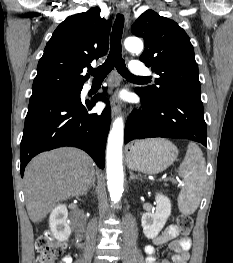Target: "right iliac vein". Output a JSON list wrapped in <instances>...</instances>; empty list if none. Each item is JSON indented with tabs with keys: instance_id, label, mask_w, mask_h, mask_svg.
Segmentation results:
<instances>
[{
	"instance_id": "1",
	"label": "right iliac vein",
	"mask_w": 233,
	"mask_h": 263,
	"mask_svg": "<svg viewBox=\"0 0 233 263\" xmlns=\"http://www.w3.org/2000/svg\"><path fill=\"white\" fill-rule=\"evenodd\" d=\"M94 263H102V262H97V261H96V262H94Z\"/></svg>"
}]
</instances>
